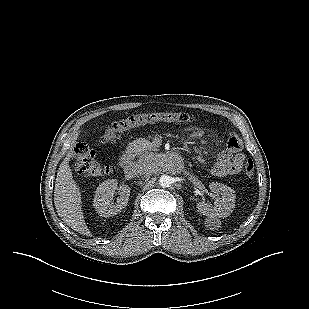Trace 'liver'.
<instances>
[{
	"label": "liver",
	"instance_id": "6515ba94",
	"mask_svg": "<svg viewBox=\"0 0 309 309\" xmlns=\"http://www.w3.org/2000/svg\"><path fill=\"white\" fill-rule=\"evenodd\" d=\"M77 138V136H76ZM69 156L60 164L54 189V204L59 217L73 230L92 236L83 216L81 193L69 166Z\"/></svg>",
	"mask_w": 309,
	"mask_h": 309
}]
</instances>
